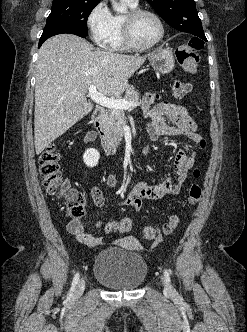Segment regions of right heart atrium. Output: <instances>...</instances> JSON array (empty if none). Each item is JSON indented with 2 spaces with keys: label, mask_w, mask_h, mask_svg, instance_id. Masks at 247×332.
I'll list each match as a JSON object with an SVG mask.
<instances>
[{
  "label": "right heart atrium",
  "mask_w": 247,
  "mask_h": 332,
  "mask_svg": "<svg viewBox=\"0 0 247 332\" xmlns=\"http://www.w3.org/2000/svg\"><path fill=\"white\" fill-rule=\"evenodd\" d=\"M86 26L94 43L105 47L113 26V15L105 0L98 1L89 11Z\"/></svg>",
  "instance_id": "d8ad5b80"
}]
</instances>
